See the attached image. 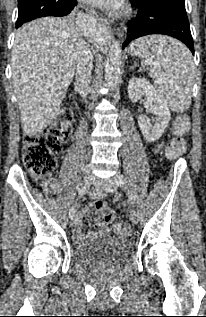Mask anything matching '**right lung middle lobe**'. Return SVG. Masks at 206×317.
Instances as JSON below:
<instances>
[{
	"mask_svg": "<svg viewBox=\"0 0 206 317\" xmlns=\"http://www.w3.org/2000/svg\"><path fill=\"white\" fill-rule=\"evenodd\" d=\"M61 0H18L16 27L23 23L45 16H59L56 11Z\"/></svg>",
	"mask_w": 206,
	"mask_h": 317,
	"instance_id": "obj_1",
	"label": "right lung middle lobe"
}]
</instances>
